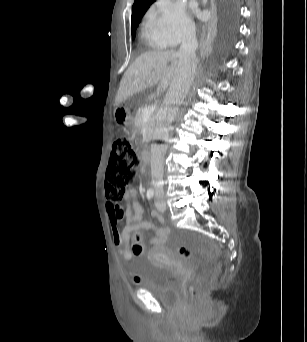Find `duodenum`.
Returning a JSON list of instances; mask_svg holds the SVG:
<instances>
[{
	"label": "duodenum",
	"instance_id": "obj_1",
	"mask_svg": "<svg viewBox=\"0 0 307 342\" xmlns=\"http://www.w3.org/2000/svg\"><path fill=\"white\" fill-rule=\"evenodd\" d=\"M140 155L143 167L147 168L150 163V152L148 150H142Z\"/></svg>",
	"mask_w": 307,
	"mask_h": 342
}]
</instances>
